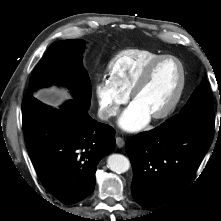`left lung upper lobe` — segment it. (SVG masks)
Wrapping results in <instances>:
<instances>
[{
  "mask_svg": "<svg viewBox=\"0 0 221 221\" xmlns=\"http://www.w3.org/2000/svg\"><path fill=\"white\" fill-rule=\"evenodd\" d=\"M212 103V95L204 78L180 113L165 124L173 129L199 128L212 131L214 129Z\"/></svg>",
  "mask_w": 221,
  "mask_h": 221,
  "instance_id": "1",
  "label": "left lung upper lobe"
}]
</instances>
